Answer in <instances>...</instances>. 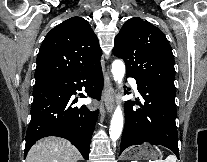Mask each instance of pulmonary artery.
<instances>
[{
    "label": "pulmonary artery",
    "instance_id": "e3ab8cb5",
    "mask_svg": "<svg viewBox=\"0 0 207 162\" xmlns=\"http://www.w3.org/2000/svg\"><path fill=\"white\" fill-rule=\"evenodd\" d=\"M129 83H130L131 87L137 92L138 91V86H137L136 81L134 79H130Z\"/></svg>",
    "mask_w": 207,
    "mask_h": 162
}]
</instances>
